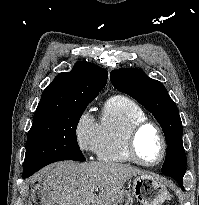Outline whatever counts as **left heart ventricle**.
Instances as JSON below:
<instances>
[{
	"mask_svg": "<svg viewBox=\"0 0 199 205\" xmlns=\"http://www.w3.org/2000/svg\"><path fill=\"white\" fill-rule=\"evenodd\" d=\"M162 144L157 131L147 127L140 132L137 138V151L142 160L155 162L161 155Z\"/></svg>",
	"mask_w": 199,
	"mask_h": 205,
	"instance_id": "obj_1",
	"label": "left heart ventricle"
}]
</instances>
